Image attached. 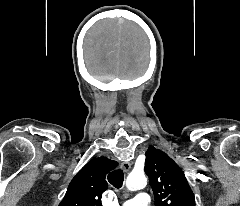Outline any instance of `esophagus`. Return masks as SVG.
I'll list each match as a JSON object with an SVG mask.
<instances>
[{"label": "esophagus", "mask_w": 240, "mask_h": 206, "mask_svg": "<svg viewBox=\"0 0 240 206\" xmlns=\"http://www.w3.org/2000/svg\"><path fill=\"white\" fill-rule=\"evenodd\" d=\"M121 166L125 172H128L131 168V164L129 162H123Z\"/></svg>", "instance_id": "esophagus-1"}]
</instances>
